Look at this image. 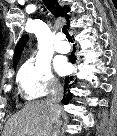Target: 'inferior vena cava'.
Returning <instances> with one entry per match:
<instances>
[{"instance_id": "inferior-vena-cava-1", "label": "inferior vena cava", "mask_w": 117, "mask_h": 136, "mask_svg": "<svg viewBox=\"0 0 117 136\" xmlns=\"http://www.w3.org/2000/svg\"><path fill=\"white\" fill-rule=\"evenodd\" d=\"M63 97V88L58 84L55 86V90L51 93L50 97L48 98V102L50 104L58 103ZM47 135L46 136H57L56 135V127L54 125V114L48 113L47 114Z\"/></svg>"}]
</instances>
